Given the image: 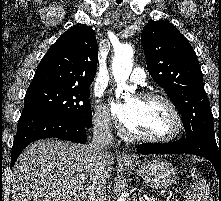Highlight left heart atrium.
I'll return each instance as SVG.
<instances>
[{
    "mask_svg": "<svg viewBox=\"0 0 221 201\" xmlns=\"http://www.w3.org/2000/svg\"><path fill=\"white\" fill-rule=\"evenodd\" d=\"M110 110L117 119L123 122L128 114L129 107L127 103L112 101L110 103Z\"/></svg>",
    "mask_w": 221,
    "mask_h": 201,
    "instance_id": "obj_1",
    "label": "left heart atrium"
}]
</instances>
